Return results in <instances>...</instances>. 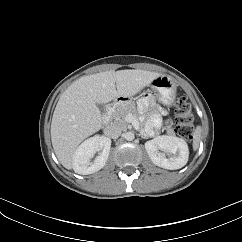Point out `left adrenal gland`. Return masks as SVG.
Segmentation results:
<instances>
[{
	"instance_id": "a2214340",
	"label": "left adrenal gland",
	"mask_w": 242,
	"mask_h": 242,
	"mask_svg": "<svg viewBox=\"0 0 242 242\" xmlns=\"http://www.w3.org/2000/svg\"><path fill=\"white\" fill-rule=\"evenodd\" d=\"M143 139H147L148 137L146 135H141Z\"/></svg>"
}]
</instances>
